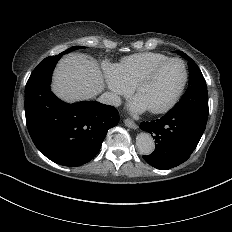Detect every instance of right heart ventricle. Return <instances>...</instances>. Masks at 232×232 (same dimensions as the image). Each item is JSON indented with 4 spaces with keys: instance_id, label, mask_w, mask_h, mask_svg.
<instances>
[{
    "instance_id": "e07e8e85",
    "label": "right heart ventricle",
    "mask_w": 232,
    "mask_h": 232,
    "mask_svg": "<svg viewBox=\"0 0 232 232\" xmlns=\"http://www.w3.org/2000/svg\"><path fill=\"white\" fill-rule=\"evenodd\" d=\"M167 58H169L168 55L158 51H141L124 56L116 64L118 75L131 89L141 75Z\"/></svg>"
}]
</instances>
